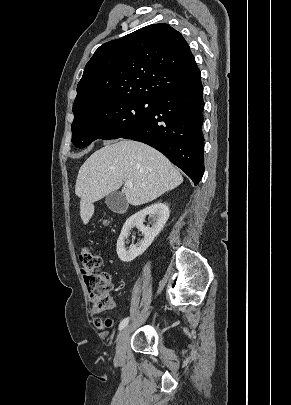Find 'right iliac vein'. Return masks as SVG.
Returning a JSON list of instances; mask_svg holds the SVG:
<instances>
[{"label":"right iliac vein","mask_w":291,"mask_h":405,"mask_svg":"<svg viewBox=\"0 0 291 405\" xmlns=\"http://www.w3.org/2000/svg\"><path fill=\"white\" fill-rule=\"evenodd\" d=\"M130 336V327H125L121 330L117 338L116 344V359L123 361L126 351V345Z\"/></svg>","instance_id":"63e3f726"}]
</instances>
